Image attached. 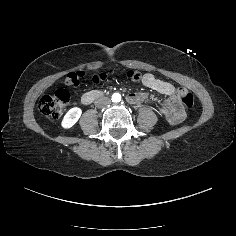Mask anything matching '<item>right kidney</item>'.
I'll list each match as a JSON object with an SVG mask.
<instances>
[{"instance_id": "obj_1", "label": "right kidney", "mask_w": 236, "mask_h": 236, "mask_svg": "<svg viewBox=\"0 0 236 236\" xmlns=\"http://www.w3.org/2000/svg\"><path fill=\"white\" fill-rule=\"evenodd\" d=\"M82 110L78 107L70 109L64 116L62 120L63 128H71L80 118Z\"/></svg>"}]
</instances>
